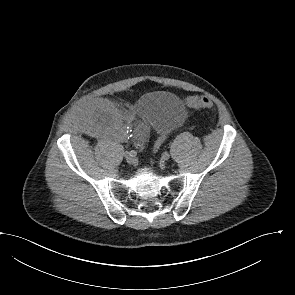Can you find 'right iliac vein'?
Instances as JSON below:
<instances>
[{
	"label": "right iliac vein",
	"instance_id": "obj_1",
	"mask_svg": "<svg viewBox=\"0 0 295 295\" xmlns=\"http://www.w3.org/2000/svg\"><path fill=\"white\" fill-rule=\"evenodd\" d=\"M125 159L129 164H133L135 163V157L134 156H130L128 153H125Z\"/></svg>",
	"mask_w": 295,
	"mask_h": 295
}]
</instances>
